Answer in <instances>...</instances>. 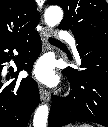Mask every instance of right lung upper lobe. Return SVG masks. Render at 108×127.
<instances>
[{
	"label": "right lung upper lobe",
	"instance_id": "obj_1",
	"mask_svg": "<svg viewBox=\"0 0 108 127\" xmlns=\"http://www.w3.org/2000/svg\"><path fill=\"white\" fill-rule=\"evenodd\" d=\"M39 18L34 0H0V43L30 33Z\"/></svg>",
	"mask_w": 108,
	"mask_h": 127
}]
</instances>
